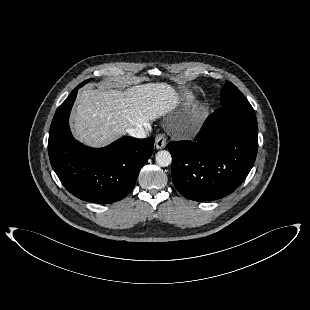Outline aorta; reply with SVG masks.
I'll list each match as a JSON object with an SVG mask.
<instances>
[{"instance_id": "obj_1", "label": "aorta", "mask_w": 310, "mask_h": 310, "mask_svg": "<svg viewBox=\"0 0 310 310\" xmlns=\"http://www.w3.org/2000/svg\"><path fill=\"white\" fill-rule=\"evenodd\" d=\"M156 163L161 167H167L172 162V157L169 151L161 150L156 153Z\"/></svg>"}]
</instances>
